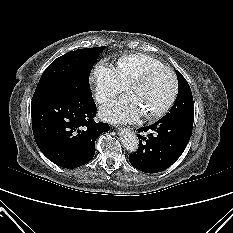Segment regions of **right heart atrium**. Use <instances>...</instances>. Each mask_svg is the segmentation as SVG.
Masks as SVG:
<instances>
[{
	"instance_id": "obj_1",
	"label": "right heart atrium",
	"mask_w": 233,
	"mask_h": 233,
	"mask_svg": "<svg viewBox=\"0 0 233 233\" xmlns=\"http://www.w3.org/2000/svg\"><path fill=\"white\" fill-rule=\"evenodd\" d=\"M92 80L95 84L96 99L99 103H106L127 88L117 69L105 62H99L95 66Z\"/></svg>"
}]
</instances>
